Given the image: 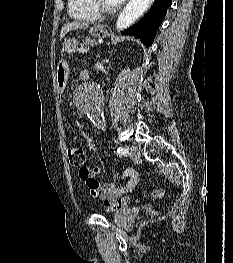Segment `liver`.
Returning a JSON list of instances; mask_svg holds the SVG:
<instances>
[{"mask_svg":"<svg viewBox=\"0 0 233 263\" xmlns=\"http://www.w3.org/2000/svg\"><path fill=\"white\" fill-rule=\"evenodd\" d=\"M89 27L88 23H82V22H72V23H66L61 29L60 32V39H62L69 31L77 30V29H87Z\"/></svg>","mask_w":233,"mask_h":263,"instance_id":"obj_1","label":"liver"}]
</instances>
